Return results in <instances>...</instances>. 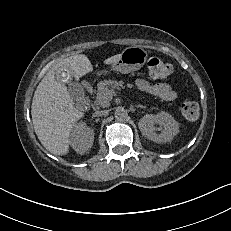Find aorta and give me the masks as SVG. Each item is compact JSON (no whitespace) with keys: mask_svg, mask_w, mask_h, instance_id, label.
<instances>
[{"mask_svg":"<svg viewBox=\"0 0 231 231\" xmlns=\"http://www.w3.org/2000/svg\"><path fill=\"white\" fill-rule=\"evenodd\" d=\"M114 115L117 120H123L127 117V111L123 107H117Z\"/></svg>","mask_w":231,"mask_h":231,"instance_id":"762f6f07","label":"aorta"}]
</instances>
